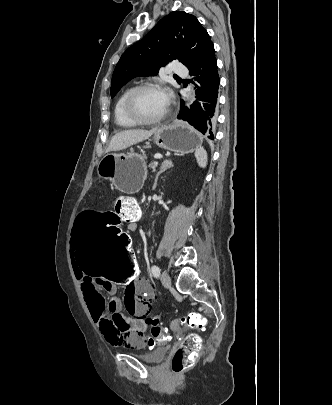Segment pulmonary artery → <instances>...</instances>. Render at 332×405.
<instances>
[{
	"label": "pulmonary artery",
	"mask_w": 332,
	"mask_h": 405,
	"mask_svg": "<svg viewBox=\"0 0 332 405\" xmlns=\"http://www.w3.org/2000/svg\"><path fill=\"white\" fill-rule=\"evenodd\" d=\"M170 70H171L172 73L180 75V76H186L187 75V69L183 65H181V64H179L177 62H173L171 64Z\"/></svg>",
	"instance_id": "pulmonary-artery-1"
}]
</instances>
